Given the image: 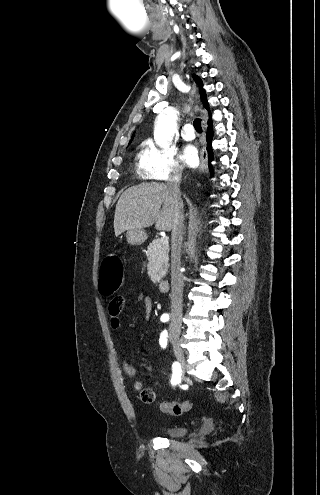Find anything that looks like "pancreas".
I'll return each instance as SVG.
<instances>
[{
    "label": "pancreas",
    "mask_w": 320,
    "mask_h": 495,
    "mask_svg": "<svg viewBox=\"0 0 320 495\" xmlns=\"http://www.w3.org/2000/svg\"><path fill=\"white\" fill-rule=\"evenodd\" d=\"M148 275L153 283H158L169 268V245H163L161 239L153 240L146 251Z\"/></svg>",
    "instance_id": "obj_1"
}]
</instances>
